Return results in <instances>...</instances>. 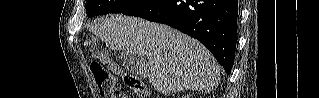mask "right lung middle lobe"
I'll return each mask as SVG.
<instances>
[{
    "mask_svg": "<svg viewBox=\"0 0 319 98\" xmlns=\"http://www.w3.org/2000/svg\"><path fill=\"white\" fill-rule=\"evenodd\" d=\"M146 0H87L86 13L89 17L108 13H124Z\"/></svg>",
    "mask_w": 319,
    "mask_h": 98,
    "instance_id": "obj_1",
    "label": "right lung middle lobe"
}]
</instances>
